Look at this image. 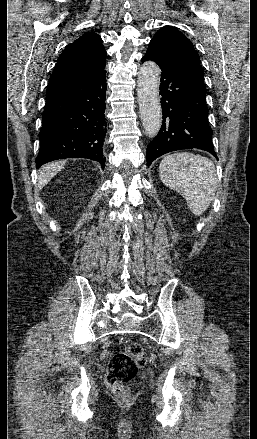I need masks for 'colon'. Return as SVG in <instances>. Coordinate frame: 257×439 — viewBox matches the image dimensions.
<instances>
[{"mask_svg":"<svg viewBox=\"0 0 257 439\" xmlns=\"http://www.w3.org/2000/svg\"><path fill=\"white\" fill-rule=\"evenodd\" d=\"M146 363L147 356L143 346L131 343L124 351L112 357L106 376L108 386L118 397L128 398L126 384L137 376L139 369L145 367Z\"/></svg>","mask_w":257,"mask_h":439,"instance_id":"5ec220e1","label":"colon"}]
</instances>
